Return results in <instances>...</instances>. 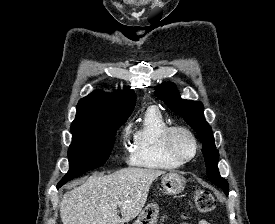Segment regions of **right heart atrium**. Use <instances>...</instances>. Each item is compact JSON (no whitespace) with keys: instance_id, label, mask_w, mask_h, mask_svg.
<instances>
[{"instance_id":"1","label":"right heart atrium","mask_w":275,"mask_h":224,"mask_svg":"<svg viewBox=\"0 0 275 224\" xmlns=\"http://www.w3.org/2000/svg\"><path fill=\"white\" fill-rule=\"evenodd\" d=\"M127 137V131L123 133V138L125 139Z\"/></svg>"}]
</instances>
